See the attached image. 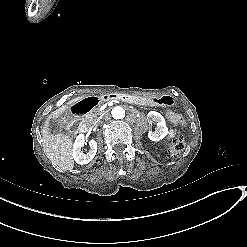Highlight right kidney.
<instances>
[{"label":"right kidney","mask_w":247,"mask_h":247,"mask_svg":"<svg viewBox=\"0 0 247 247\" xmlns=\"http://www.w3.org/2000/svg\"><path fill=\"white\" fill-rule=\"evenodd\" d=\"M86 143V138L83 134L79 135L74 144L73 156L77 164L84 165L88 164L95 157L97 153V141L95 139H90L88 145L91 150L88 152H83V146Z\"/></svg>","instance_id":"obj_1"}]
</instances>
